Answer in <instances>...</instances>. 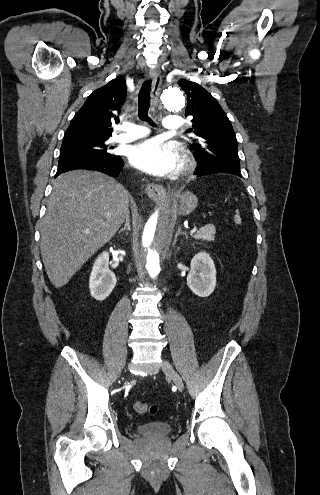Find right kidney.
<instances>
[{
	"instance_id": "ca27d5eb",
	"label": "right kidney",
	"mask_w": 320,
	"mask_h": 495,
	"mask_svg": "<svg viewBox=\"0 0 320 495\" xmlns=\"http://www.w3.org/2000/svg\"><path fill=\"white\" fill-rule=\"evenodd\" d=\"M116 276L109 269V253L102 252L94 262L92 267L89 288L91 296L98 300H105L116 285Z\"/></svg>"
}]
</instances>
